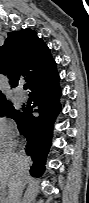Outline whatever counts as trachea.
Instances as JSON below:
<instances>
[{"label": "trachea", "instance_id": "3493384b", "mask_svg": "<svg viewBox=\"0 0 89 203\" xmlns=\"http://www.w3.org/2000/svg\"><path fill=\"white\" fill-rule=\"evenodd\" d=\"M28 88V85H24V89H27Z\"/></svg>", "mask_w": 89, "mask_h": 203}]
</instances>
